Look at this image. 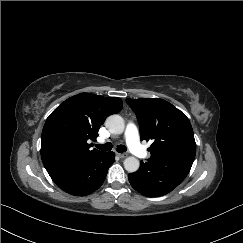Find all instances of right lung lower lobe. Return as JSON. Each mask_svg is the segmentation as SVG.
I'll use <instances>...</instances> for the list:
<instances>
[{
	"mask_svg": "<svg viewBox=\"0 0 243 243\" xmlns=\"http://www.w3.org/2000/svg\"><path fill=\"white\" fill-rule=\"evenodd\" d=\"M114 156L113 152H103L82 163L49 172V175L65 192L85 196L103 184Z\"/></svg>",
	"mask_w": 243,
	"mask_h": 243,
	"instance_id": "obj_1",
	"label": "right lung lower lobe"
}]
</instances>
